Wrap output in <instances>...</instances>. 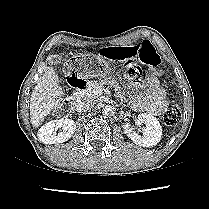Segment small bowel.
<instances>
[{"instance_id":"small-bowel-1","label":"small bowel","mask_w":209,"mask_h":209,"mask_svg":"<svg viewBox=\"0 0 209 209\" xmlns=\"http://www.w3.org/2000/svg\"><path fill=\"white\" fill-rule=\"evenodd\" d=\"M126 74L127 79L135 85H142L145 82V75L137 64H129L126 67ZM146 82L148 88L144 95H129L131 105L136 111H146L159 116L167 105L165 89L156 76H148Z\"/></svg>"}]
</instances>
